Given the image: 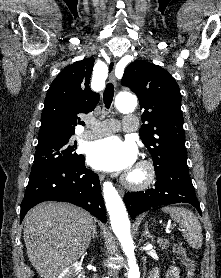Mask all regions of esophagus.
Instances as JSON below:
<instances>
[{"label":"esophagus","mask_w":221,"mask_h":278,"mask_svg":"<svg viewBox=\"0 0 221 278\" xmlns=\"http://www.w3.org/2000/svg\"><path fill=\"white\" fill-rule=\"evenodd\" d=\"M115 66H116V61H113V63L110 65L111 67V72L109 74V81L113 84L116 85L117 84V80L114 74L115 71ZM101 179H103L104 177L101 175L100 176ZM119 193L120 195H124V190L123 189H119Z\"/></svg>","instance_id":"1"}]
</instances>
